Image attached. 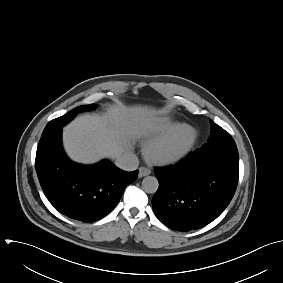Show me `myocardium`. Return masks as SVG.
Segmentation results:
<instances>
[{"mask_svg":"<svg viewBox=\"0 0 283 283\" xmlns=\"http://www.w3.org/2000/svg\"><path fill=\"white\" fill-rule=\"evenodd\" d=\"M198 132L188 124H181L170 133L150 142L145 154L159 165H172L184 159L194 148Z\"/></svg>","mask_w":283,"mask_h":283,"instance_id":"myocardium-1","label":"myocardium"}]
</instances>
